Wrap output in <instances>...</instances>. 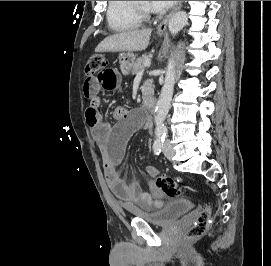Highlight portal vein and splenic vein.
<instances>
[{
    "mask_svg": "<svg viewBox=\"0 0 271 266\" xmlns=\"http://www.w3.org/2000/svg\"><path fill=\"white\" fill-rule=\"evenodd\" d=\"M150 65V62H149V60L148 61H146L145 63H144V66L145 67H148ZM144 71V70H143ZM143 71H141L139 74H142L143 73Z\"/></svg>",
    "mask_w": 271,
    "mask_h": 266,
    "instance_id": "18ae733b",
    "label": "portal vein and splenic vein"
}]
</instances>
